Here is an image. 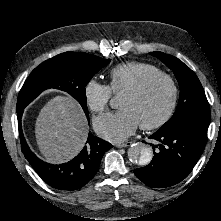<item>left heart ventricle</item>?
Wrapping results in <instances>:
<instances>
[{
  "instance_id": "1",
  "label": "left heart ventricle",
  "mask_w": 221,
  "mask_h": 221,
  "mask_svg": "<svg viewBox=\"0 0 221 221\" xmlns=\"http://www.w3.org/2000/svg\"><path fill=\"white\" fill-rule=\"evenodd\" d=\"M170 94L171 90L168 83L159 79L139 96L124 93L120 99L119 108L131 111L139 124L151 123L159 119L166 111Z\"/></svg>"
}]
</instances>
